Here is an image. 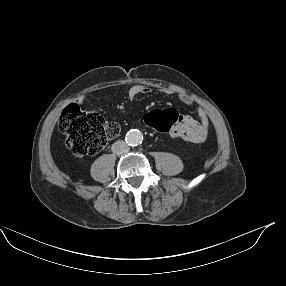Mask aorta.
Wrapping results in <instances>:
<instances>
[{"label": "aorta", "mask_w": 286, "mask_h": 286, "mask_svg": "<svg viewBox=\"0 0 286 286\" xmlns=\"http://www.w3.org/2000/svg\"><path fill=\"white\" fill-rule=\"evenodd\" d=\"M143 141V135L139 130L132 129L126 134V142L128 145L137 146Z\"/></svg>", "instance_id": "aorta-1"}]
</instances>
